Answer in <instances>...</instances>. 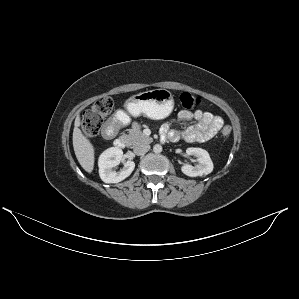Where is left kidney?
I'll return each mask as SVG.
<instances>
[{"label":"left kidney","mask_w":299,"mask_h":299,"mask_svg":"<svg viewBox=\"0 0 299 299\" xmlns=\"http://www.w3.org/2000/svg\"><path fill=\"white\" fill-rule=\"evenodd\" d=\"M186 153L188 155H194L197 158L199 164L196 167L185 164L181 167V171L189 177H197L207 175L213 171V162L208 152L202 148H187Z\"/></svg>","instance_id":"obj_1"}]
</instances>
